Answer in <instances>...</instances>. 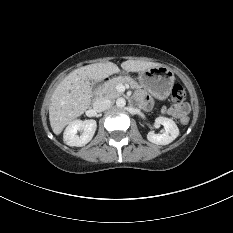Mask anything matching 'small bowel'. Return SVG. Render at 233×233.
I'll return each mask as SVG.
<instances>
[{"label":"small bowel","instance_id":"small-bowel-1","mask_svg":"<svg viewBox=\"0 0 233 233\" xmlns=\"http://www.w3.org/2000/svg\"><path fill=\"white\" fill-rule=\"evenodd\" d=\"M138 98L141 101V103L143 104V106H145V107L150 106V99L147 95H145L144 93H139ZM164 112L167 114H170L174 117H181V116H184L187 114L188 107L186 105L174 106L171 108L164 109Z\"/></svg>","mask_w":233,"mask_h":233}]
</instances>
